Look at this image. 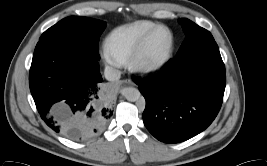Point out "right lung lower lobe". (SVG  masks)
I'll list each match as a JSON object with an SVG mask.
<instances>
[{
  "label": "right lung lower lobe",
  "mask_w": 267,
  "mask_h": 166,
  "mask_svg": "<svg viewBox=\"0 0 267 166\" xmlns=\"http://www.w3.org/2000/svg\"><path fill=\"white\" fill-rule=\"evenodd\" d=\"M98 59L65 40L40 39L29 74L30 91L44 122L79 141L101 132L112 115L103 101Z\"/></svg>",
  "instance_id": "98d812e1"
}]
</instances>
